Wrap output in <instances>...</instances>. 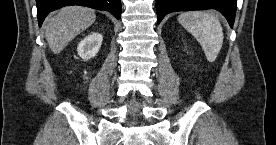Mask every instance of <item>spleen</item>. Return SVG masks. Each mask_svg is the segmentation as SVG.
<instances>
[{
	"label": "spleen",
	"mask_w": 276,
	"mask_h": 145,
	"mask_svg": "<svg viewBox=\"0 0 276 145\" xmlns=\"http://www.w3.org/2000/svg\"><path fill=\"white\" fill-rule=\"evenodd\" d=\"M178 21L200 43L207 60L214 62L224 38L218 18L210 12L193 11L180 14Z\"/></svg>",
	"instance_id": "3e777b00"
}]
</instances>
